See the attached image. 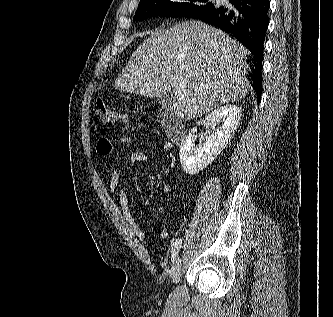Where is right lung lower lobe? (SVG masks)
<instances>
[{
  "instance_id": "1",
  "label": "right lung lower lobe",
  "mask_w": 333,
  "mask_h": 317,
  "mask_svg": "<svg viewBox=\"0 0 333 317\" xmlns=\"http://www.w3.org/2000/svg\"><path fill=\"white\" fill-rule=\"evenodd\" d=\"M229 2L231 8L215 6L201 11L193 18L229 33L251 51L255 69L249 76L259 103L262 92L261 65L269 24L270 2L269 0H229Z\"/></svg>"
}]
</instances>
